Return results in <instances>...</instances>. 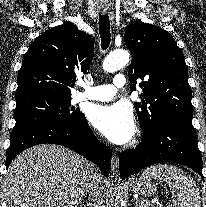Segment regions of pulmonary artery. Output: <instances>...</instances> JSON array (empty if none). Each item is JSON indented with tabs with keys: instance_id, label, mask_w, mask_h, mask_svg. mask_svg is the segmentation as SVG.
Instances as JSON below:
<instances>
[{
	"instance_id": "obj_1",
	"label": "pulmonary artery",
	"mask_w": 206,
	"mask_h": 207,
	"mask_svg": "<svg viewBox=\"0 0 206 207\" xmlns=\"http://www.w3.org/2000/svg\"><path fill=\"white\" fill-rule=\"evenodd\" d=\"M125 83H126L125 76L122 74H117L114 76L112 84L89 87V89L86 92L79 93L76 96L75 100L76 101L109 100L116 95L117 89L124 86Z\"/></svg>"
}]
</instances>
